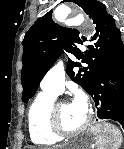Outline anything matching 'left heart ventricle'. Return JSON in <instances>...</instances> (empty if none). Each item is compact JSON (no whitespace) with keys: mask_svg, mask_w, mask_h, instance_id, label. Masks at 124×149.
<instances>
[{"mask_svg":"<svg viewBox=\"0 0 124 149\" xmlns=\"http://www.w3.org/2000/svg\"><path fill=\"white\" fill-rule=\"evenodd\" d=\"M59 113L63 127L69 130L80 127L87 118V113L75 108L71 102L61 103Z\"/></svg>","mask_w":124,"mask_h":149,"instance_id":"obj_1","label":"left heart ventricle"}]
</instances>
